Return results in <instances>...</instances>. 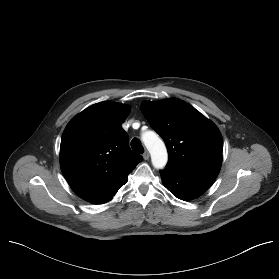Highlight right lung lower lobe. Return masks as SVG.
I'll list each match as a JSON object with an SVG mask.
<instances>
[{
    "mask_svg": "<svg viewBox=\"0 0 279 279\" xmlns=\"http://www.w3.org/2000/svg\"><path fill=\"white\" fill-rule=\"evenodd\" d=\"M117 191H115L114 193H112V194L94 202V204H103V203H106V202L110 201L113 198V196L116 194Z\"/></svg>",
    "mask_w": 279,
    "mask_h": 279,
    "instance_id": "obj_1",
    "label": "right lung lower lobe"
}]
</instances>
